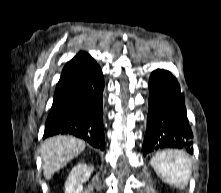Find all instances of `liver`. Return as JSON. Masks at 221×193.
I'll return each mask as SVG.
<instances>
[{"label": "liver", "instance_id": "obj_1", "mask_svg": "<svg viewBox=\"0 0 221 193\" xmlns=\"http://www.w3.org/2000/svg\"><path fill=\"white\" fill-rule=\"evenodd\" d=\"M85 149V143L72 136H54L41 146L43 174L51 179L54 173L63 168Z\"/></svg>", "mask_w": 221, "mask_h": 193}]
</instances>
